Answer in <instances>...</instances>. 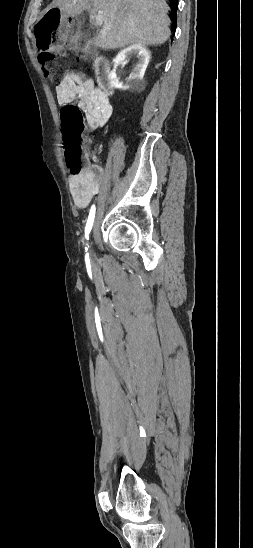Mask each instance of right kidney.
Here are the masks:
<instances>
[{
	"mask_svg": "<svg viewBox=\"0 0 253 548\" xmlns=\"http://www.w3.org/2000/svg\"><path fill=\"white\" fill-rule=\"evenodd\" d=\"M133 55H137L138 63L136 64L132 73L125 82H119L116 74V69L110 72L109 80L113 87L122 90L136 89L141 91L144 89L145 83L143 81V77L151 57L150 51L144 45L133 44L123 49L117 54V56L113 60V63L115 67L119 65H124L128 62V58Z\"/></svg>",
	"mask_w": 253,
	"mask_h": 548,
	"instance_id": "1",
	"label": "right kidney"
}]
</instances>
